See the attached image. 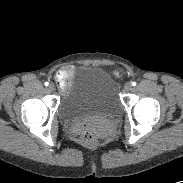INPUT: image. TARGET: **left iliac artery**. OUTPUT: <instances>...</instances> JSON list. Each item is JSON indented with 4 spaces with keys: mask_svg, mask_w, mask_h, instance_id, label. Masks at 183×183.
Returning a JSON list of instances; mask_svg holds the SVG:
<instances>
[{
    "mask_svg": "<svg viewBox=\"0 0 183 183\" xmlns=\"http://www.w3.org/2000/svg\"><path fill=\"white\" fill-rule=\"evenodd\" d=\"M132 86H136V82H132Z\"/></svg>",
    "mask_w": 183,
    "mask_h": 183,
    "instance_id": "obj_1",
    "label": "left iliac artery"
}]
</instances>
